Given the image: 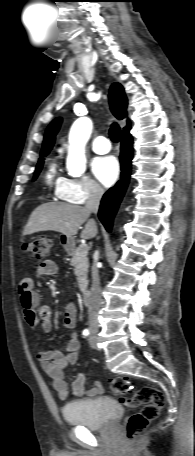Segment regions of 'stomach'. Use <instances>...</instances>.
Instances as JSON below:
<instances>
[{
	"instance_id": "0dacf381",
	"label": "stomach",
	"mask_w": 195,
	"mask_h": 456,
	"mask_svg": "<svg viewBox=\"0 0 195 456\" xmlns=\"http://www.w3.org/2000/svg\"><path fill=\"white\" fill-rule=\"evenodd\" d=\"M74 238L73 237H67L66 235H61L60 236V244L64 247V249L70 251L74 247Z\"/></svg>"
}]
</instances>
